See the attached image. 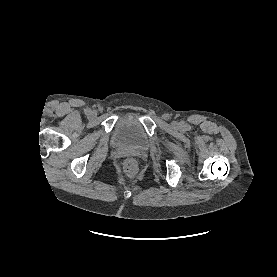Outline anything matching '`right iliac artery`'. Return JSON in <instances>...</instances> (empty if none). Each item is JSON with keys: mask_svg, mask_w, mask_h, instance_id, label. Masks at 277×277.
Here are the masks:
<instances>
[{"mask_svg": "<svg viewBox=\"0 0 277 277\" xmlns=\"http://www.w3.org/2000/svg\"><path fill=\"white\" fill-rule=\"evenodd\" d=\"M84 112H85V114L89 115L90 112H91V110H90L89 108H86V109L84 110Z\"/></svg>", "mask_w": 277, "mask_h": 277, "instance_id": "right-iliac-artery-1", "label": "right iliac artery"}]
</instances>
